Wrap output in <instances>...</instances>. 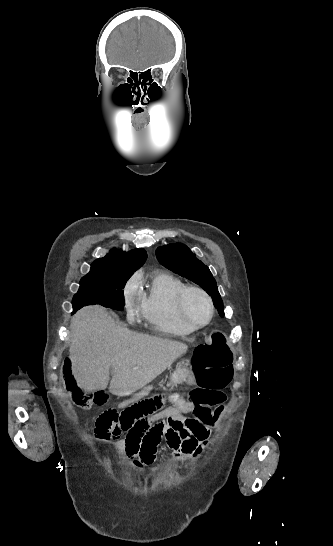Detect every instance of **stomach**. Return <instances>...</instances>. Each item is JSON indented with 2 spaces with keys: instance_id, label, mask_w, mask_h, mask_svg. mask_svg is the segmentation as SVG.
Listing matches in <instances>:
<instances>
[{
  "instance_id": "obj_1",
  "label": "stomach",
  "mask_w": 333,
  "mask_h": 546,
  "mask_svg": "<svg viewBox=\"0 0 333 546\" xmlns=\"http://www.w3.org/2000/svg\"><path fill=\"white\" fill-rule=\"evenodd\" d=\"M187 372L188 374H190L191 372V365L189 363H182L180 366H178L174 372L171 374V378H170V384L169 385H173V384H177L179 382H182L184 381V372Z\"/></svg>"
}]
</instances>
